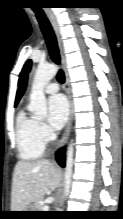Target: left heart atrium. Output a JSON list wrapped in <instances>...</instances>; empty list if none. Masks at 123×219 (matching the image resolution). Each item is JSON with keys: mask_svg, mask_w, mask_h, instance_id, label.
<instances>
[{"mask_svg": "<svg viewBox=\"0 0 123 219\" xmlns=\"http://www.w3.org/2000/svg\"><path fill=\"white\" fill-rule=\"evenodd\" d=\"M69 114L68 104L61 94L53 95L48 100V120L50 126L58 130L63 127Z\"/></svg>", "mask_w": 123, "mask_h": 219, "instance_id": "obj_1", "label": "left heart atrium"}]
</instances>
